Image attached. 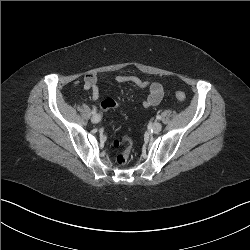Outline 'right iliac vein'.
<instances>
[{
	"instance_id": "1",
	"label": "right iliac vein",
	"mask_w": 250,
	"mask_h": 250,
	"mask_svg": "<svg viewBox=\"0 0 250 250\" xmlns=\"http://www.w3.org/2000/svg\"><path fill=\"white\" fill-rule=\"evenodd\" d=\"M100 120H101V117L98 114L93 115L92 118H91V121L93 123H98V122H100Z\"/></svg>"
}]
</instances>
